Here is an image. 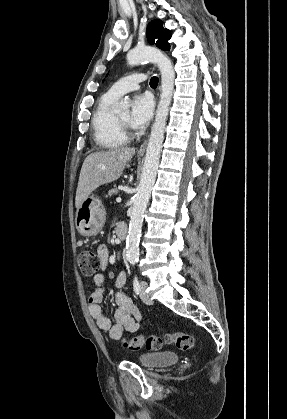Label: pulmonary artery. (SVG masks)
<instances>
[{"mask_svg": "<svg viewBox=\"0 0 287 419\" xmlns=\"http://www.w3.org/2000/svg\"><path fill=\"white\" fill-rule=\"evenodd\" d=\"M146 79L144 74L133 73L127 75L117 82H115L110 89L108 90V94L114 98H119L123 94L136 90L140 87V84Z\"/></svg>", "mask_w": 287, "mask_h": 419, "instance_id": "pulmonary-artery-1", "label": "pulmonary artery"}]
</instances>
